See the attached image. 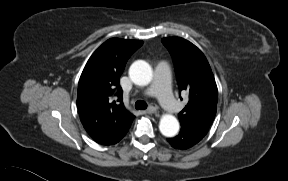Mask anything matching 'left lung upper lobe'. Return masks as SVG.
I'll list each match as a JSON object with an SVG mask.
<instances>
[{
    "label": "left lung upper lobe",
    "mask_w": 288,
    "mask_h": 181,
    "mask_svg": "<svg viewBox=\"0 0 288 181\" xmlns=\"http://www.w3.org/2000/svg\"><path fill=\"white\" fill-rule=\"evenodd\" d=\"M161 41L173 58L180 91L189 94L188 104L178 114L181 127L208 130L216 114L218 90L206 57L183 38L168 37Z\"/></svg>",
    "instance_id": "1"
}]
</instances>
